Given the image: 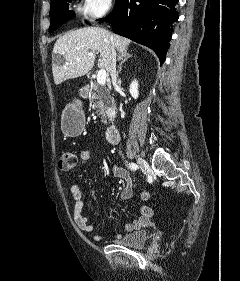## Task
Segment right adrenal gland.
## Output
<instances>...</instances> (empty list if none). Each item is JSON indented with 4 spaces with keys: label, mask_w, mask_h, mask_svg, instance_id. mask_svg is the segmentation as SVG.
<instances>
[{
    "label": "right adrenal gland",
    "mask_w": 240,
    "mask_h": 281,
    "mask_svg": "<svg viewBox=\"0 0 240 281\" xmlns=\"http://www.w3.org/2000/svg\"><path fill=\"white\" fill-rule=\"evenodd\" d=\"M132 57V54L124 52V53H119L118 55V61H120V64L118 66V71L117 74L120 73L121 69H122V65L129 59Z\"/></svg>",
    "instance_id": "obj_1"
}]
</instances>
